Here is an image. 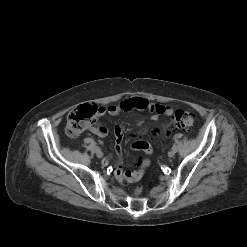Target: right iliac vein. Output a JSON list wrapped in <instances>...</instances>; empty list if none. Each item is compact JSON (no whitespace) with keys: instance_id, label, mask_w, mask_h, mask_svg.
Instances as JSON below:
<instances>
[{"instance_id":"1","label":"right iliac vein","mask_w":247,"mask_h":247,"mask_svg":"<svg viewBox=\"0 0 247 247\" xmlns=\"http://www.w3.org/2000/svg\"><path fill=\"white\" fill-rule=\"evenodd\" d=\"M96 151V155L98 158H102L103 157V152L101 150H95Z\"/></svg>"}]
</instances>
